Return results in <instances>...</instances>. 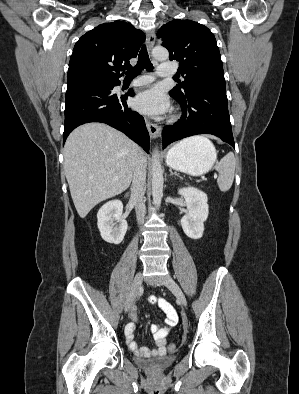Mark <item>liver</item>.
<instances>
[{
	"instance_id": "obj_1",
	"label": "liver",
	"mask_w": 299,
	"mask_h": 394,
	"mask_svg": "<svg viewBox=\"0 0 299 394\" xmlns=\"http://www.w3.org/2000/svg\"><path fill=\"white\" fill-rule=\"evenodd\" d=\"M140 153L146 161L138 145L102 123H87L72 131L64 146V171L81 218L129 187Z\"/></svg>"
}]
</instances>
